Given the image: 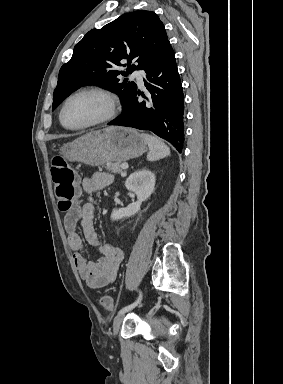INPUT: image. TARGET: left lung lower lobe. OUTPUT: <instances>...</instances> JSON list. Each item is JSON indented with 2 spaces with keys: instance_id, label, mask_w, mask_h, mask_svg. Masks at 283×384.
Here are the masks:
<instances>
[{
  "instance_id": "obj_1",
  "label": "left lung lower lobe",
  "mask_w": 283,
  "mask_h": 384,
  "mask_svg": "<svg viewBox=\"0 0 283 384\" xmlns=\"http://www.w3.org/2000/svg\"><path fill=\"white\" fill-rule=\"evenodd\" d=\"M144 71L145 86L150 92L148 102H138L139 93L136 90L123 113L108 125L150 130L169 141L181 153L184 142V94L170 42Z\"/></svg>"
}]
</instances>
